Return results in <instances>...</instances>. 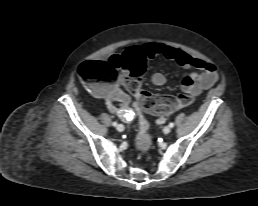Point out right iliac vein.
I'll return each mask as SVG.
<instances>
[{
  "label": "right iliac vein",
  "instance_id": "1",
  "mask_svg": "<svg viewBox=\"0 0 258 206\" xmlns=\"http://www.w3.org/2000/svg\"><path fill=\"white\" fill-rule=\"evenodd\" d=\"M124 130V126L122 124L117 125V131L122 132Z\"/></svg>",
  "mask_w": 258,
  "mask_h": 206
}]
</instances>
